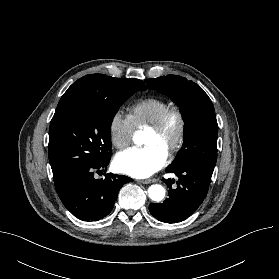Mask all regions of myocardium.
Listing matches in <instances>:
<instances>
[{
	"label": "myocardium",
	"instance_id": "obj_1",
	"mask_svg": "<svg viewBox=\"0 0 279 279\" xmlns=\"http://www.w3.org/2000/svg\"><path fill=\"white\" fill-rule=\"evenodd\" d=\"M172 117H175L178 121V133L173 146L170 148L167 154L169 157H172L180 150L185 139L186 120L182 110L178 106H169L149 127V130L153 132H162L167 127V124Z\"/></svg>",
	"mask_w": 279,
	"mask_h": 279
}]
</instances>
